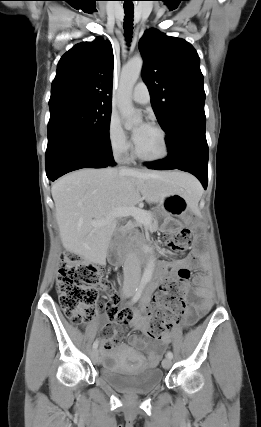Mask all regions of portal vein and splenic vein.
I'll use <instances>...</instances> for the list:
<instances>
[{
    "mask_svg": "<svg viewBox=\"0 0 261 427\" xmlns=\"http://www.w3.org/2000/svg\"><path fill=\"white\" fill-rule=\"evenodd\" d=\"M128 216H132L134 219H136L140 223H147L149 221V214L147 213V211L142 210L140 208H136V207H118L111 212L110 218L128 217ZM110 218L104 219L101 221L93 220L91 224L95 227L102 226L108 223Z\"/></svg>",
    "mask_w": 261,
    "mask_h": 427,
    "instance_id": "1",
    "label": "portal vein and splenic vein"
}]
</instances>
